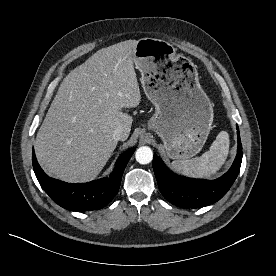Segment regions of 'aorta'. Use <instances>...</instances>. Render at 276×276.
Returning <instances> with one entry per match:
<instances>
[{
	"mask_svg": "<svg viewBox=\"0 0 276 276\" xmlns=\"http://www.w3.org/2000/svg\"><path fill=\"white\" fill-rule=\"evenodd\" d=\"M135 158L140 164H148L153 159V152L150 147L142 146L136 150Z\"/></svg>",
	"mask_w": 276,
	"mask_h": 276,
	"instance_id": "aorta-1",
	"label": "aorta"
}]
</instances>
